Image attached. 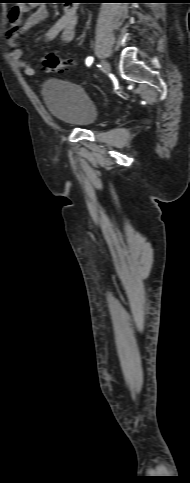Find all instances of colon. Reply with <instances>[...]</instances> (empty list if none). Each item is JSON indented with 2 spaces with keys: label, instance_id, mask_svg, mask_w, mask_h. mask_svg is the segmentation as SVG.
<instances>
[{
  "label": "colon",
  "instance_id": "1",
  "mask_svg": "<svg viewBox=\"0 0 190 483\" xmlns=\"http://www.w3.org/2000/svg\"><path fill=\"white\" fill-rule=\"evenodd\" d=\"M42 63L45 70L52 73L63 72L72 65L71 60L62 59L53 53L45 54L42 57Z\"/></svg>",
  "mask_w": 190,
  "mask_h": 483
}]
</instances>
